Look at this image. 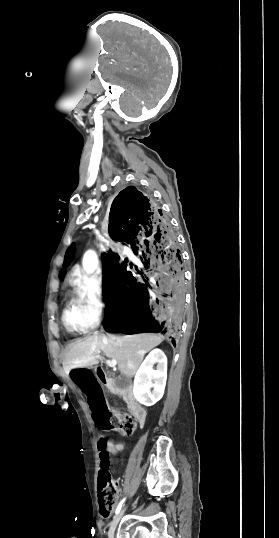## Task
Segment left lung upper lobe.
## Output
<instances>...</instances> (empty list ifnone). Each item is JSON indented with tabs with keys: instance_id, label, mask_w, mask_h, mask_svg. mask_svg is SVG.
Masks as SVG:
<instances>
[{
	"instance_id": "left-lung-upper-lobe-1",
	"label": "left lung upper lobe",
	"mask_w": 279,
	"mask_h": 538,
	"mask_svg": "<svg viewBox=\"0 0 279 538\" xmlns=\"http://www.w3.org/2000/svg\"><path fill=\"white\" fill-rule=\"evenodd\" d=\"M74 253H75V246L72 245L66 252L65 259H64V267L68 266L71 263L72 259L74 258ZM65 273H66V270L62 269L60 272L61 280H63Z\"/></svg>"
}]
</instances>
